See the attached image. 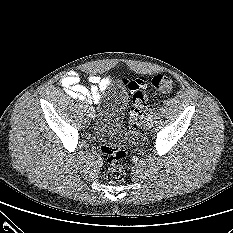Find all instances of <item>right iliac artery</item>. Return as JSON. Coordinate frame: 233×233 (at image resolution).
<instances>
[{"mask_svg": "<svg viewBox=\"0 0 233 233\" xmlns=\"http://www.w3.org/2000/svg\"><path fill=\"white\" fill-rule=\"evenodd\" d=\"M82 107H83L84 109H87V108H88V104L85 103V102H83V103H82Z\"/></svg>", "mask_w": 233, "mask_h": 233, "instance_id": "82829eb1", "label": "right iliac artery"}]
</instances>
